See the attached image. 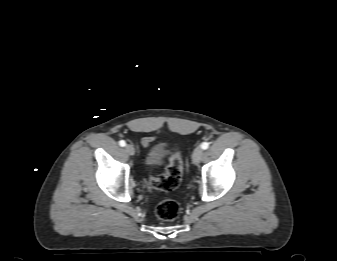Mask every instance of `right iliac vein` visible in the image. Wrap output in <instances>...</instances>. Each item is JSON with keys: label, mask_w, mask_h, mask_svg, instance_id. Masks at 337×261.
Segmentation results:
<instances>
[{"label": "right iliac vein", "mask_w": 337, "mask_h": 261, "mask_svg": "<svg viewBox=\"0 0 337 261\" xmlns=\"http://www.w3.org/2000/svg\"><path fill=\"white\" fill-rule=\"evenodd\" d=\"M125 152L128 154V155H134L135 154V149L132 145H126L125 146Z\"/></svg>", "instance_id": "63e3f726"}]
</instances>
